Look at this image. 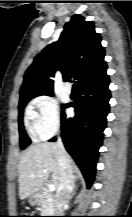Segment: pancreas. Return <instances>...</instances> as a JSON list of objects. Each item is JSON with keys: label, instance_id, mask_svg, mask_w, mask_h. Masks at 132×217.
I'll use <instances>...</instances> for the list:
<instances>
[{"label": "pancreas", "instance_id": "pancreas-1", "mask_svg": "<svg viewBox=\"0 0 132 217\" xmlns=\"http://www.w3.org/2000/svg\"><path fill=\"white\" fill-rule=\"evenodd\" d=\"M55 208V203L52 195L45 196V199L41 203V213L42 215H47L53 213Z\"/></svg>", "mask_w": 132, "mask_h": 217}]
</instances>
